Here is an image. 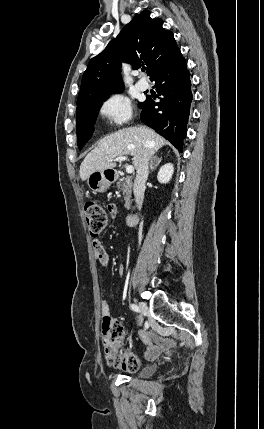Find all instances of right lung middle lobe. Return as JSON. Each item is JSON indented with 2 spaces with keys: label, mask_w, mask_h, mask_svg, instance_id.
<instances>
[{
  "label": "right lung middle lobe",
  "mask_w": 264,
  "mask_h": 429,
  "mask_svg": "<svg viewBox=\"0 0 264 429\" xmlns=\"http://www.w3.org/2000/svg\"><path fill=\"white\" fill-rule=\"evenodd\" d=\"M105 99L106 96H102L94 101L77 107V143L80 149L91 138L99 108ZM143 105L144 102L139 103L140 108H142Z\"/></svg>",
  "instance_id": "1"
}]
</instances>
